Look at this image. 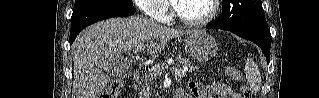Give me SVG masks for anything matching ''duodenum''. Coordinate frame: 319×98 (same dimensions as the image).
Masks as SVG:
<instances>
[{"instance_id":"obj_1","label":"duodenum","mask_w":319,"mask_h":98,"mask_svg":"<svg viewBox=\"0 0 319 98\" xmlns=\"http://www.w3.org/2000/svg\"><path fill=\"white\" fill-rule=\"evenodd\" d=\"M141 77V71L140 69H136L134 72H133V75H132V78L135 80V81H138ZM175 98H186L184 92L182 89H178L176 91V94H175Z\"/></svg>"}]
</instances>
